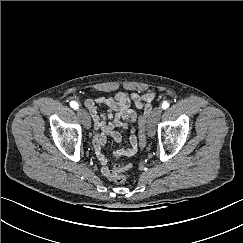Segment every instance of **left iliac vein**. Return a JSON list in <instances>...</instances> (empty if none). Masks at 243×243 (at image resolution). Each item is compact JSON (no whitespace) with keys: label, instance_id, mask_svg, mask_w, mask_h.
<instances>
[{"label":"left iliac vein","instance_id":"1","mask_svg":"<svg viewBox=\"0 0 243 243\" xmlns=\"http://www.w3.org/2000/svg\"><path fill=\"white\" fill-rule=\"evenodd\" d=\"M162 113V109L160 107H156L151 112L148 121H147V130H148V136L153 137L155 135V128L156 123L159 120Z\"/></svg>","mask_w":243,"mask_h":243}]
</instances>
